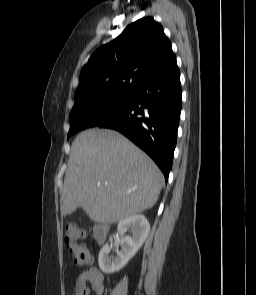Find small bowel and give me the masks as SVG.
I'll return each mask as SVG.
<instances>
[{
	"mask_svg": "<svg viewBox=\"0 0 256 295\" xmlns=\"http://www.w3.org/2000/svg\"><path fill=\"white\" fill-rule=\"evenodd\" d=\"M89 282L90 286H87ZM93 292L94 295H103L104 293V276L94 266L84 270L77 278L75 291L77 295H89Z\"/></svg>",
	"mask_w": 256,
	"mask_h": 295,
	"instance_id": "1",
	"label": "small bowel"
}]
</instances>
